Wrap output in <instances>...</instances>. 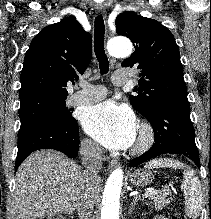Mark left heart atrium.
I'll list each match as a JSON object with an SVG mask.
<instances>
[{
	"label": "left heart atrium",
	"instance_id": "obj_1",
	"mask_svg": "<svg viewBox=\"0 0 211 219\" xmlns=\"http://www.w3.org/2000/svg\"><path fill=\"white\" fill-rule=\"evenodd\" d=\"M82 124L85 131L109 149H127L137 136V125L132 111L106 101L86 110Z\"/></svg>",
	"mask_w": 211,
	"mask_h": 219
}]
</instances>
